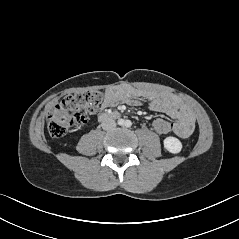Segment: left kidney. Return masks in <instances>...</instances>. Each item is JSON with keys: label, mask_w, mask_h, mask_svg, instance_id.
Masks as SVG:
<instances>
[{"label": "left kidney", "mask_w": 239, "mask_h": 239, "mask_svg": "<svg viewBox=\"0 0 239 239\" xmlns=\"http://www.w3.org/2000/svg\"><path fill=\"white\" fill-rule=\"evenodd\" d=\"M164 147L170 153H179L182 149V143L175 137H167L164 139Z\"/></svg>", "instance_id": "5707ae66"}]
</instances>
